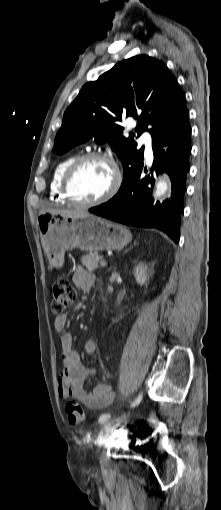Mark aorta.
I'll list each match as a JSON object with an SVG mask.
<instances>
[{
  "instance_id": "obj_1",
  "label": "aorta",
  "mask_w": 221,
  "mask_h": 510,
  "mask_svg": "<svg viewBox=\"0 0 221 510\" xmlns=\"http://www.w3.org/2000/svg\"><path fill=\"white\" fill-rule=\"evenodd\" d=\"M168 189V184L165 180H160L158 183H157V187H156V192H155V195L156 196H162L166 193Z\"/></svg>"
}]
</instances>
